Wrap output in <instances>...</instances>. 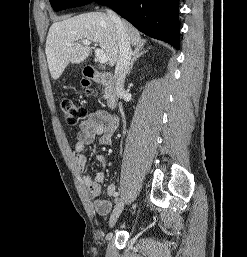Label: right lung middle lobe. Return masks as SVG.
I'll list each match as a JSON object with an SVG mask.
<instances>
[{
  "label": "right lung middle lobe",
  "instance_id": "obj_1",
  "mask_svg": "<svg viewBox=\"0 0 247 257\" xmlns=\"http://www.w3.org/2000/svg\"><path fill=\"white\" fill-rule=\"evenodd\" d=\"M93 0H50L51 6L54 10L59 11L68 7H78L86 5Z\"/></svg>",
  "mask_w": 247,
  "mask_h": 257
}]
</instances>
